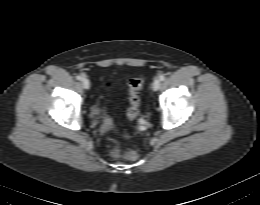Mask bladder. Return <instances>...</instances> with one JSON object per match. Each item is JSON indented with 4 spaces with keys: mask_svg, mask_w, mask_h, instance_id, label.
Segmentation results:
<instances>
[{
    "mask_svg": "<svg viewBox=\"0 0 260 205\" xmlns=\"http://www.w3.org/2000/svg\"><path fill=\"white\" fill-rule=\"evenodd\" d=\"M90 114L93 118H102L105 116V112L103 111V109L97 105V104H94L91 106V109H90Z\"/></svg>",
    "mask_w": 260,
    "mask_h": 205,
    "instance_id": "1",
    "label": "bladder"
}]
</instances>
